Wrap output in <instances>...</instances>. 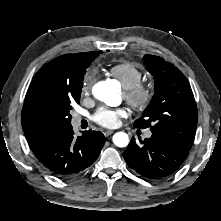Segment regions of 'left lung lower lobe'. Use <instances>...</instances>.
<instances>
[{
  "mask_svg": "<svg viewBox=\"0 0 221 221\" xmlns=\"http://www.w3.org/2000/svg\"><path fill=\"white\" fill-rule=\"evenodd\" d=\"M130 141L123 157L127 165L142 177L159 180L173 174L182 165L189 150L158 134Z\"/></svg>",
  "mask_w": 221,
  "mask_h": 221,
  "instance_id": "obj_1",
  "label": "left lung lower lobe"
}]
</instances>
